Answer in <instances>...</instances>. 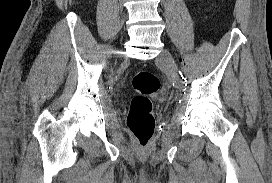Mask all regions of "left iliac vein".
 Returning <instances> with one entry per match:
<instances>
[{
	"label": "left iliac vein",
	"instance_id": "1",
	"mask_svg": "<svg viewBox=\"0 0 272 183\" xmlns=\"http://www.w3.org/2000/svg\"><path fill=\"white\" fill-rule=\"evenodd\" d=\"M157 61L165 67L168 75L170 76V78L172 80L175 81L177 86H180L181 80L177 76V65H176L175 60L173 59L172 55L170 54V52L166 49H163L161 54L159 55Z\"/></svg>",
	"mask_w": 272,
	"mask_h": 183
}]
</instances>
